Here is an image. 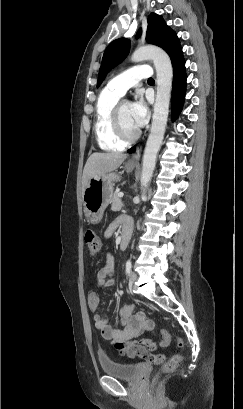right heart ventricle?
Segmentation results:
<instances>
[{
	"instance_id": "right-heart-ventricle-1",
	"label": "right heart ventricle",
	"mask_w": 243,
	"mask_h": 409,
	"mask_svg": "<svg viewBox=\"0 0 243 409\" xmlns=\"http://www.w3.org/2000/svg\"><path fill=\"white\" fill-rule=\"evenodd\" d=\"M121 95L105 87L97 101L94 133L97 144L104 151H122L125 143L118 140L112 129V112Z\"/></svg>"
}]
</instances>
